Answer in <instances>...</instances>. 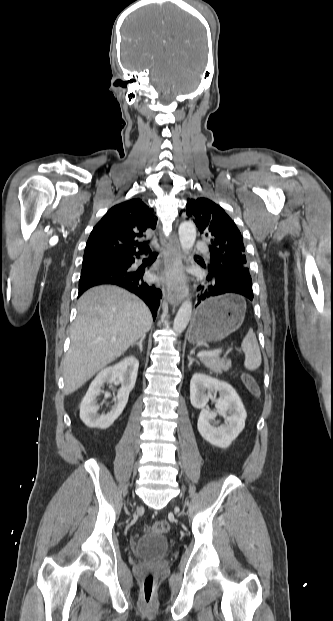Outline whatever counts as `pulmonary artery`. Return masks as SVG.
Wrapping results in <instances>:
<instances>
[{
    "mask_svg": "<svg viewBox=\"0 0 333 621\" xmlns=\"http://www.w3.org/2000/svg\"><path fill=\"white\" fill-rule=\"evenodd\" d=\"M195 248L199 249V250L204 249L205 248V244L202 241H197L196 244H195Z\"/></svg>",
    "mask_w": 333,
    "mask_h": 621,
    "instance_id": "pulmonary-artery-1",
    "label": "pulmonary artery"
}]
</instances>
